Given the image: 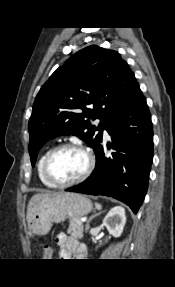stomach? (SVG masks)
Segmentation results:
<instances>
[{
  "label": "stomach",
  "instance_id": "obj_1",
  "mask_svg": "<svg viewBox=\"0 0 175 287\" xmlns=\"http://www.w3.org/2000/svg\"><path fill=\"white\" fill-rule=\"evenodd\" d=\"M92 208L90 199L82 194L63 192L46 197L27 212L28 228L35 235H46L53 223L82 217Z\"/></svg>",
  "mask_w": 175,
  "mask_h": 287
}]
</instances>
